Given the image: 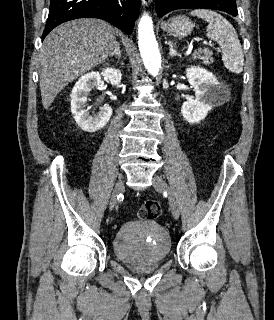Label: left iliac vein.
Wrapping results in <instances>:
<instances>
[{
	"label": "left iliac vein",
	"instance_id": "left-iliac-vein-1",
	"mask_svg": "<svg viewBox=\"0 0 274 320\" xmlns=\"http://www.w3.org/2000/svg\"><path fill=\"white\" fill-rule=\"evenodd\" d=\"M153 186L157 191H165L168 193L169 205L172 215L175 219H178L180 215L179 207L166 181L160 176H155L153 178Z\"/></svg>",
	"mask_w": 274,
	"mask_h": 320
}]
</instances>
